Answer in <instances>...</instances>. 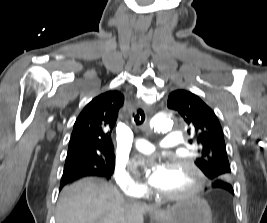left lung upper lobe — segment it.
<instances>
[{"mask_svg": "<svg viewBox=\"0 0 267 223\" xmlns=\"http://www.w3.org/2000/svg\"><path fill=\"white\" fill-rule=\"evenodd\" d=\"M167 106L177 111L195 133L198 156L195 164L214 182H228L231 169L227 157L223 131L218 118L197 95L186 91H173ZM192 143V140H190Z\"/></svg>", "mask_w": 267, "mask_h": 223, "instance_id": "5c2ea615", "label": "left lung upper lobe"}]
</instances>
